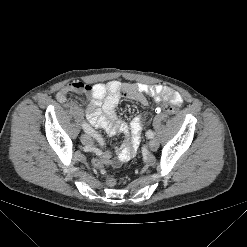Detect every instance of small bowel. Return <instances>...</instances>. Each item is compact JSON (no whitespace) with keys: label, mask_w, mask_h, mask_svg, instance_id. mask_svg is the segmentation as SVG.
I'll list each match as a JSON object with an SVG mask.
<instances>
[{"label":"small bowel","mask_w":247,"mask_h":247,"mask_svg":"<svg viewBox=\"0 0 247 247\" xmlns=\"http://www.w3.org/2000/svg\"><path fill=\"white\" fill-rule=\"evenodd\" d=\"M71 93L87 96L88 103L85 114L92 126L104 130L109 135L123 133L128 137V141L122 145L115 159L111 158L109 152L91 149L95 155L93 162L99 160L104 165L114 167H118L134 156L140 143L141 131L145 122L144 115L135 117L129 125L117 117L115 109L122 98L130 99L141 105L148 103L145 95L151 96L156 102L169 101L175 106H181L183 103L180 93L162 85L122 84L117 80L97 84L71 82L58 90L56 98L65 107L77 111L76 104L68 97Z\"/></svg>","instance_id":"c3829d8e"}]
</instances>
